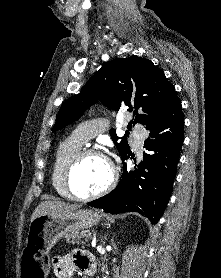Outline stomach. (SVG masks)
I'll return each mask as SVG.
<instances>
[{
  "label": "stomach",
  "mask_w": 221,
  "mask_h": 278,
  "mask_svg": "<svg viewBox=\"0 0 221 278\" xmlns=\"http://www.w3.org/2000/svg\"><path fill=\"white\" fill-rule=\"evenodd\" d=\"M102 216L90 209L45 214L31 221L21 257V278H49L48 254L63 237L97 225Z\"/></svg>",
  "instance_id": "1"
}]
</instances>
